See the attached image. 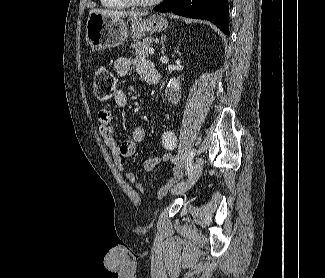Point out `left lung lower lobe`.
Here are the masks:
<instances>
[{"mask_svg": "<svg viewBox=\"0 0 325 278\" xmlns=\"http://www.w3.org/2000/svg\"><path fill=\"white\" fill-rule=\"evenodd\" d=\"M158 12H171L188 18L205 19L229 34L227 0H166L154 8Z\"/></svg>", "mask_w": 325, "mask_h": 278, "instance_id": "left-lung-lower-lobe-1", "label": "left lung lower lobe"}]
</instances>
